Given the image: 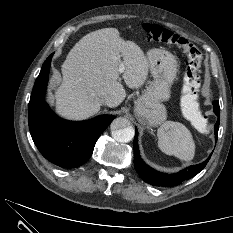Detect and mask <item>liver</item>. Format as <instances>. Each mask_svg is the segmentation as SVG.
I'll return each mask as SVG.
<instances>
[{
	"mask_svg": "<svg viewBox=\"0 0 233 233\" xmlns=\"http://www.w3.org/2000/svg\"><path fill=\"white\" fill-rule=\"evenodd\" d=\"M121 58L125 84L131 89L141 87L149 63L135 42L124 41L116 28L99 29L82 37L62 64V80L55 89L57 113L83 120L98 113L105 96L112 98V107L122 103L126 92L119 82Z\"/></svg>",
	"mask_w": 233,
	"mask_h": 233,
	"instance_id": "obj_1",
	"label": "liver"
}]
</instances>
